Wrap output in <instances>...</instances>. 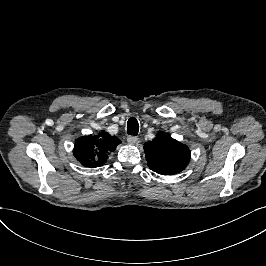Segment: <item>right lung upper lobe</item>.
<instances>
[{
    "instance_id": "cb5924a9",
    "label": "right lung upper lobe",
    "mask_w": 266,
    "mask_h": 266,
    "mask_svg": "<svg viewBox=\"0 0 266 266\" xmlns=\"http://www.w3.org/2000/svg\"><path fill=\"white\" fill-rule=\"evenodd\" d=\"M121 141L105 131L97 135L78 138L75 141L74 156L83 165L90 168L102 166Z\"/></svg>"
}]
</instances>
